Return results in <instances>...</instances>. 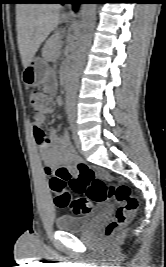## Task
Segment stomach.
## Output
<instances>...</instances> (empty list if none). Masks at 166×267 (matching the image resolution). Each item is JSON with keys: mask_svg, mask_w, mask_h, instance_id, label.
<instances>
[{"mask_svg": "<svg viewBox=\"0 0 166 267\" xmlns=\"http://www.w3.org/2000/svg\"><path fill=\"white\" fill-rule=\"evenodd\" d=\"M49 68L45 60L33 58L29 65L24 68L22 79L25 85L35 87L42 85L48 78Z\"/></svg>", "mask_w": 166, "mask_h": 267, "instance_id": "0dacf381", "label": "stomach"}]
</instances>
